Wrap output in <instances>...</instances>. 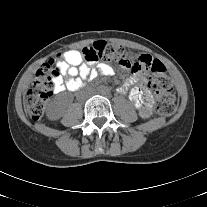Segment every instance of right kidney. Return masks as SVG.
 Returning a JSON list of instances; mask_svg holds the SVG:
<instances>
[{
	"label": "right kidney",
	"mask_w": 207,
	"mask_h": 207,
	"mask_svg": "<svg viewBox=\"0 0 207 207\" xmlns=\"http://www.w3.org/2000/svg\"><path fill=\"white\" fill-rule=\"evenodd\" d=\"M63 109L57 102H52L47 110L49 120H58L63 116Z\"/></svg>",
	"instance_id": "ca27d5eb"
}]
</instances>
